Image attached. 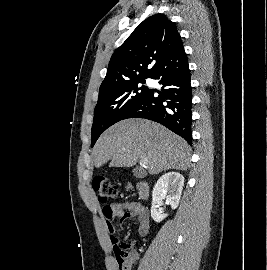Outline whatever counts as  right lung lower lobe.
<instances>
[{
	"instance_id": "obj_1",
	"label": "right lung lower lobe",
	"mask_w": 267,
	"mask_h": 270,
	"mask_svg": "<svg viewBox=\"0 0 267 270\" xmlns=\"http://www.w3.org/2000/svg\"><path fill=\"white\" fill-rule=\"evenodd\" d=\"M163 85L160 95L148 89L145 96L128 112L127 118H146L156 121L192 142V88L190 70L183 44L176 47L149 77Z\"/></svg>"
}]
</instances>
